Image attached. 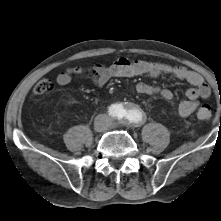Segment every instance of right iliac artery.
Wrapping results in <instances>:
<instances>
[{
    "instance_id": "obj_1",
    "label": "right iliac artery",
    "mask_w": 221,
    "mask_h": 221,
    "mask_svg": "<svg viewBox=\"0 0 221 221\" xmlns=\"http://www.w3.org/2000/svg\"><path fill=\"white\" fill-rule=\"evenodd\" d=\"M109 115L114 116V117H118L121 118L124 115V110L116 104H113L109 107Z\"/></svg>"
}]
</instances>
